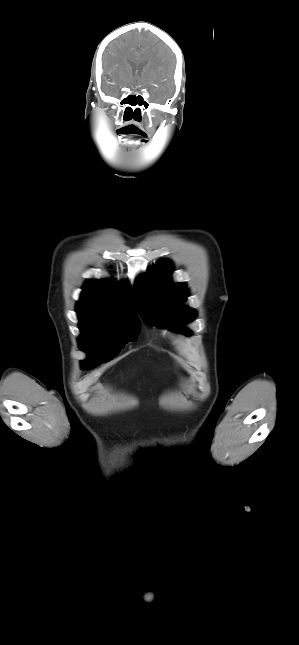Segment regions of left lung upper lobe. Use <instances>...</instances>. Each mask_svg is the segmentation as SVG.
Wrapping results in <instances>:
<instances>
[{
    "label": "left lung upper lobe",
    "mask_w": 299,
    "mask_h": 645,
    "mask_svg": "<svg viewBox=\"0 0 299 645\" xmlns=\"http://www.w3.org/2000/svg\"><path fill=\"white\" fill-rule=\"evenodd\" d=\"M172 270L171 261L162 260L137 279L134 286L135 304L148 324L158 323L160 328L190 335V331L184 329L180 322L192 321L196 312L182 306L188 297L187 286L185 283H172Z\"/></svg>",
    "instance_id": "5c2ea615"
}]
</instances>
